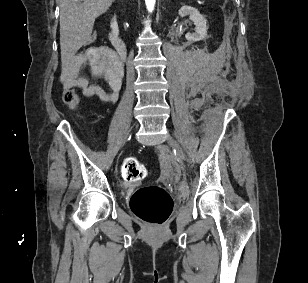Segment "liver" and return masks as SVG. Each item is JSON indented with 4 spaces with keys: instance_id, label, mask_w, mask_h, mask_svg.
Instances as JSON below:
<instances>
[{
    "instance_id": "1",
    "label": "liver",
    "mask_w": 308,
    "mask_h": 283,
    "mask_svg": "<svg viewBox=\"0 0 308 283\" xmlns=\"http://www.w3.org/2000/svg\"><path fill=\"white\" fill-rule=\"evenodd\" d=\"M115 0H60V48L65 64L91 36L95 19Z\"/></svg>"
}]
</instances>
